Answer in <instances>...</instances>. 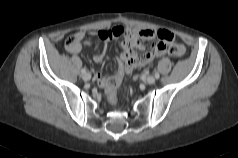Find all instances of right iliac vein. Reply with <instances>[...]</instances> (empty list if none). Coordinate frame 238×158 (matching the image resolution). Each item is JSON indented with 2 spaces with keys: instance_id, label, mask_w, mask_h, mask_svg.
<instances>
[{
  "instance_id": "1",
  "label": "right iliac vein",
  "mask_w": 238,
  "mask_h": 158,
  "mask_svg": "<svg viewBox=\"0 0 238 158\" xmlns=\"http://www.w3.org/2000/svg\"><path fill=\"white\" fill-rule=\"evenodd\" d=\"M82 78H83V80H85V81H89L90 79H91V74L90 73H84L83 75H82Z\"/></svg>"
}]
</instances>
